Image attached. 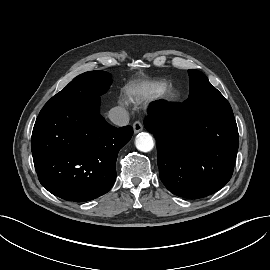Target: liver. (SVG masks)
<instances>
[{"mask_svg":"<svg viewBox=\"0 0 270 270\" xmlns=\"http://www.w3.org/2000/svg\"><path fill=\"white\" fill-rule=\"evenodd\" d=\"M146 83H141V85H145ZM134 84H131V85H129L128 87H127V90L128 91H130V90H132L133 88H134Z\"/></svg>","mask_w":270,"mask_h":270,"instance_id":"obj_1","label":"liver"}]
</instances>
